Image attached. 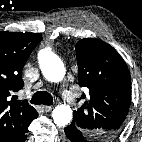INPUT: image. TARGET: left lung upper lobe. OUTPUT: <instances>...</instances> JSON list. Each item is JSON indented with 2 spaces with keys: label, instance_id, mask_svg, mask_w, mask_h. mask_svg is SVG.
<instances>
[{
  "label": "left lung upper lobe",
  "instance_id": "5c2ea615",
  "mask_svg": "<svg viewBox=\"0 0 142 142\" xmlns=\"http://www.w3.org/2000/svg\"><path fill=\"white\" fill-rule=\"evenodd\" d=\"M76 56L79 84L89 89V96L74 111L72 124L90 139H111L120 132L130 106L128 67L114 48L95 38L80 40Z\"/></svg>",
  "mask_w": 142,
  "mask_h": 142
}]
</instances>
